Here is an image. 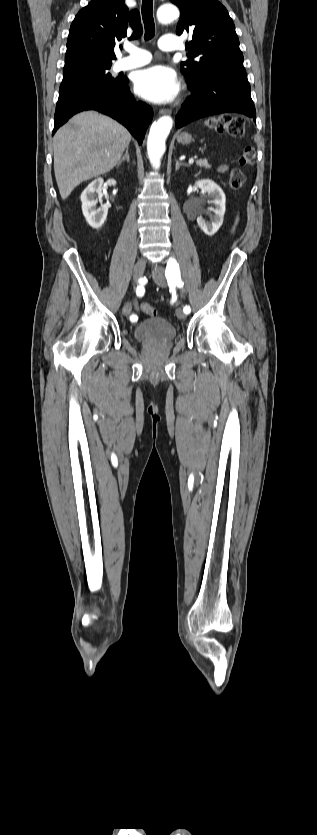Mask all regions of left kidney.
Segmentation results:
<instances>
[{
    "label": "left kidney",
    "instance_id": "obj_1",
    "mask_svg": "<svg viewBox=\"0 0 317 835\" xmlns=\"http://www.w3.org/2000/svg\"><path fill=\"white\" fill-rule=\"evenodd\" d=\"M195 187H198L202 191L206 192L210 198L208 203L215 206L214 208L209 207V210L214 213L210 215V221H204L202 216L197 218V223L202 231L206 235L212 236L218 231L223 223L226 196L220 186L210 179L196 181Z\"/></svg>",
    "mask_w": 317,
    "mask_h": 835
}]
</instances>
